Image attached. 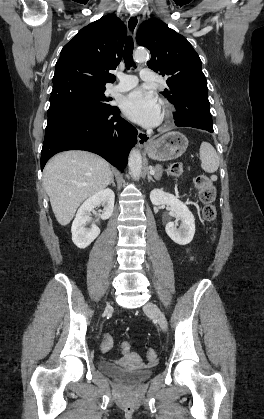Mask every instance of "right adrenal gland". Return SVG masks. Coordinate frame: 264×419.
Returning <instances> with one entry per match:
<instances>
[{"label":"right adrenal gland","mask_w":264,"mask_h":419,"mask_svg":"<svg viewBox=\"0 0 264 419\" xmlns=\"http://www.w3.org/2000/svg\"><path fill=\"white\" fill-rule=\"evenodd\" d=\"M112 184V186L113 187H115L116 185H115V182H114V175L112 174V176H111V181H110V183H109V185H111Z\"/></svg>","instance_id":"obj_1"}]
</instances>
